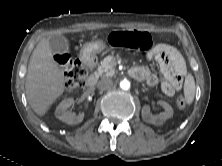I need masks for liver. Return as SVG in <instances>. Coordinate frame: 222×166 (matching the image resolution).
Wrapping results in <instances>:
<instances>
[{
	"label": "liver",
	"mask_w": 222,
	"mask_h": 166,
	"mask_svg": "<svg viewBox=\"0 0 222 166\" xmlns=\"http://www.w3.org/2000/svg\"><path fill=\"white\" fill-rule=\"evenodd\" d=\"M66 78L54 61L49 38H42L34 49L26 76V97L32 110L45 115L65 91Z\"/></svg>",
	"instance_id": "6515ba94"
}]
</instances>
